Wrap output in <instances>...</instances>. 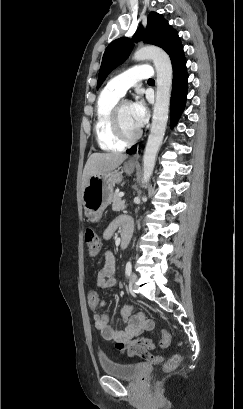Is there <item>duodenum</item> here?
<instances>
[{"label":"duodenum","instance_id":"410a0bca","mask_svg":"<svg viewBox=\"0 0 243 409\" xmlns=\"http://www.w3.org/2000/svg\"><path fill=\"white\" fill-rule=\"evenodd\" d=\"M131 238V230L130 229H126L125 231H123L122 235H121V240H120V247L122 249L126 248L129 241Z\"/></svg>","mask_w":243,"mask_h":409}]
</instances>
